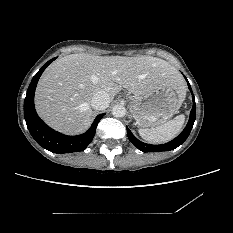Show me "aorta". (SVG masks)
Returning <instances> with one entry per match:
<instances>
[{
	"label": "aorta",
	"mask_w": 233,
	"mask_h": 233,
	"mask_svg": "<svg viewBox=\"0 0 233 233\" xmlns=\"http://www.w3.org/2000/svg\"><path fill=\"white\" fill-rule=\"evenodd\" d=\"M126 114V109L123 105H115L113 108H112V115L114 117H123L125 116Z\"/></svg>",
	"instance_id": "obj_1"
}]
</instances>
